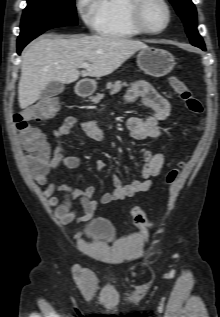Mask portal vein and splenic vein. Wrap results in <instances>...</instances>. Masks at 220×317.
Masks as SVG:
<instances>
[{
  "label": "portal vein and splenic vein",
  "mask_w": 220,
  "mask_h": 317,
  "mask_svg": "<svg viewBox=\"0 0 220 317\" xmlns=\"http://www.w3.org/2000/svg\"><path fill=\"white\" fill-rule=\"evenodd\" d=\"M90 67V64L89 63H82L79 68H84V69H87Z\"/></svg>",
  "instance_id": "1"
}]
</instances>
